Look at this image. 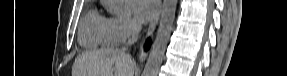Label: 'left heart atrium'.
Listing matches in <instances>:
<instances>
[{
	"instance_id": "39dd6f15",
	"label": "left heart atrium",
	"mask_w": 287,
	"mask_h": 76,
	"mask_svg": "<svg viewBox=\"0 0 287 76\" xmlns=\"http://www.w3.org/2000/svg\"><path fill=\"white\" fill-rule=\"evenodd\" d=\"M130 6L135 18L142 23L155 17L157 4L154 0H131Z\"/></svg>"
}]
</instances>
